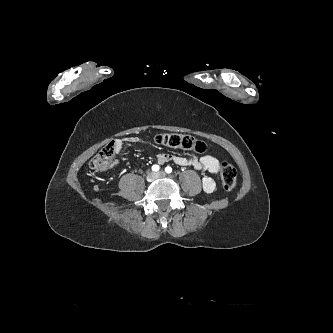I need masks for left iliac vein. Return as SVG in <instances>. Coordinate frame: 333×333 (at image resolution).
Instances as JSON below:
<instances>
[{
  "label": "left iliac vein",
  "instance_id": "left-iliac-vein-1",
  "mask_svg": "<svg viewBox=\"0 0 333 333\" xmlns=\"http://www.w3.org/2000/svg\"><path fill=\"white\" fill-rule=\"evenodd\" d=\"M155 174H156V178H161V177L165 176L164 172H158V173H155Z\"/></svg>",
  "mask_w": 333,
  "mask_h": 333
}]
</instances>
